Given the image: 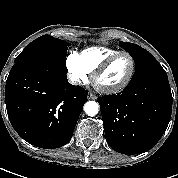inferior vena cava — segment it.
<instances>
[{"label": "inferior vena cava", "mask_w": 178, "mask_h": 178, "mask_svg": "<svg viewBox=\"0 0 178 178\" xmlns=\"http://www.w3.org/2000/svg\"><path fill=\"white\" fill-rule=\"evenodd\" d=\"M70 80L74 83V84H80V80H74L73 78L70 77Z\"/></svg>", "instance_id": "1"}]
</instances>
